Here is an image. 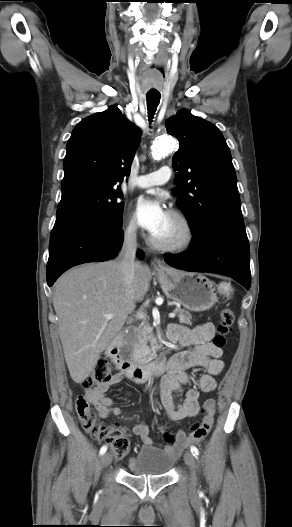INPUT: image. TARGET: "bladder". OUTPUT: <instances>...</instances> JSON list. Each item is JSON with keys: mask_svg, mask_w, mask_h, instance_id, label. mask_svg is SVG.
<instances>
[{"mask_svg": "<svg viewBox=\"0 0 292 527\" xmlns=\"http://www.w3.org/2000/svg\"><path fill=\"white\" fill-rule=\"evenodd\" d=\"M174 458L165 450L146 446L128 461V470L134 476H162L168 473Z\"/></svg>", "mask_w": 292, "mask_h": 527, "instance_id": "1", "label": "bladder"}]
</instances>
